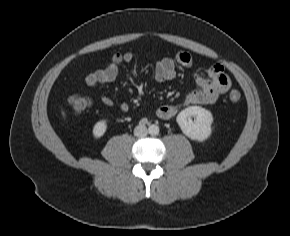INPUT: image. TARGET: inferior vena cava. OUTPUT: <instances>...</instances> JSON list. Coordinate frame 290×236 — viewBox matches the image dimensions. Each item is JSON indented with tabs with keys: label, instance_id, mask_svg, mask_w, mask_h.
<instances>
[{
	"label": "inferior vena cava",
	"instance_id": "1",
	"mask_svg": "<svg viewBox=\"0 0 290 236\" xmlns=\"http://www.w3.org/2000/svg\"><path fill=\"white\" fill-rule=\"evenodd\" d=\"M148 134V129L144 125H138L134 129V135L137 137H144Z\"/></svg>",
	"mask_w": 290,
	"mask_h": 236
}]
</instances>
